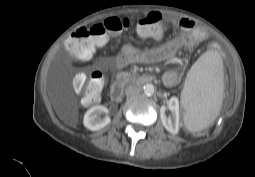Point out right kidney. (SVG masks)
<instances>
[{
	"instance_id": "1",
	"label": "right kidney",
	"mask_w": 255,
	"mask_h": 177,
	"mask_svg": "<svg viewBox=\"0 0 255 177\" xmlns=\"http://www.w3.org/2000/svg\"><path fill=\"white\" fill-rule=\"evenodd\" d=\"M103 113L108 114V109L105 106L97 105L90 108L84 115V126L91 131H97L108 125L110 117L101 118Z\"/></svg>"
}]
</instances>
